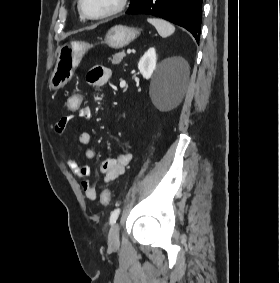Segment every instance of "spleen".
<instances>
[{"instance_id": "3e777b00", "label": "spleen", "mask_w": 280, "mask_h": 283, "mask_svg": "<svg viewBox=\"0 0 280 283\" xmlns=\"http://www.w3.org/2000/svg\"><path fill=\"white\" fill-rule=\"evenodd\" d=\"M148 22L156 28L159 35L163 38L172 35L175 31V27L166 20L159 18H148Z\"/></svg>"}]
</instances>
